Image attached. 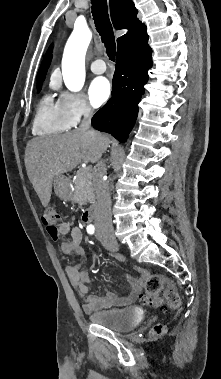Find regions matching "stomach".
I'll use <instances>...</instances> for the list:
<instances>
[{"label":"stomach","mask_w":221,"mask_h":379,"mask_svg":"<svg viewBox=\"0 0 221 379\" xmlns=\"http://www.w3.org/2000/svg\"><path fill=\"white\" fill-rule=\"evenodd\" d=\"M55 193L62 199L71 198V190L69 180L64 175L60 174L54 179Z\"/></svg>","instance_id":"obj_1"}]
</instances>
